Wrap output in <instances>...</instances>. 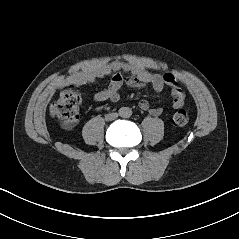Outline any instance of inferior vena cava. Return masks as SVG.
Returning a JSON list of instances; mask_svg holds the SVG:
<instances>
[{
  "label": "inferior vena cava",
  "mask_w": 239,
  "mask_h": 239,
  "mask_svg": "<svg viewBox=\"0 0 239 239\" xmlns=\"http://www.w3.org/2000/svg\"><path fill=\"white\" fill-rule=\"evenodd\" d=\"M117 116L118 115L114 113V114L111 115V119H115V118H117Z\"/></svg>",
  "instance_id": "obj_1"
}]
</instances>
